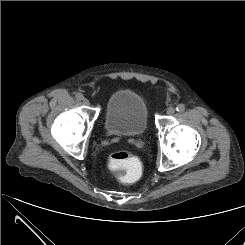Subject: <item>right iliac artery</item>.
<instances>
[{
    "label": "right iliac artery",
    "instance_id": "obj_1",
    "mask_svg": "<svg viewBox=\"0 0 245 245\" xmlns=\"http://www.w3.org/2000/svg\"><path fill=\"white\" fill-rule=\"evenodd\" d=\"M75 97L79 101L83 100V98H84V96L81 93H77Z\"/></svg>",
    "mask_w": 245,
    "mask_h": 245
}]
</instances>
